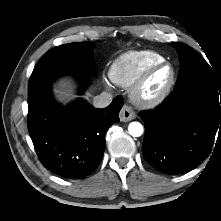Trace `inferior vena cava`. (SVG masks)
I'll use <instances>...</instances> for the list:
<instances>
[{"instance_id": "obj_1", "label": "inferior vena cava", "mask_w": 221, "mask_h": 221, "mask_svg": "<svg viewBox=\"0 0 221 221\" xmlns=\"http://www.w3.org/2000/svg\"><path fill=\"white\" fill-rule=\"evenodd\" d=\"M112 100V94L104 91L100 95L94 97L93 106L95 108H105L111 104Z\"/></svg>"}]
</instances>
